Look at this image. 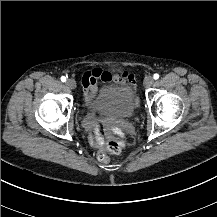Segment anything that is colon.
<instances>
[{"mask_svg": "<svg viewBox=\"0 0 217 217\" xmlns=\"http://www.w3.org/2000/svg\"><path fill=\"white\" fill-rule=\"evenodd\" d=\"M124 147L122 139H116L109 142L99 153V158L102 161H107L108 157L113 154H118Z\"/></svg>", "mask_w": 217, "mask_h": 217, "instance_id": "colon-1", "label": "colon"}]
</instances>
